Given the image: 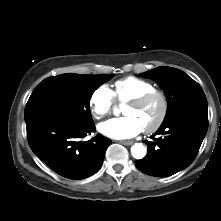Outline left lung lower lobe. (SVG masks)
<instances>
[{
    "label": "left lung lower lobe",
    "instance_id": "left-lung-lower-lobe-1",
    "mask_svg": "<svg viewBox=\"0 0 221 221\" xmlns=\"http://www.w3.org/2000/svg\"><path fill=\"white\" fill-rule=\"evenodd\" d=\"M208 129L207 105L186 108L167 121L151 136L147 155L135 162L151 176L166 177L188 167L195 159ZM159 135L158 138H154Z\"/></svg>",
    "mask_w": 221,
    "mask_h": 221
}]
</instances>
